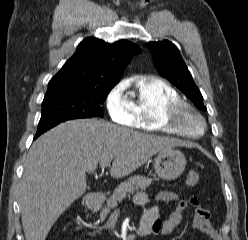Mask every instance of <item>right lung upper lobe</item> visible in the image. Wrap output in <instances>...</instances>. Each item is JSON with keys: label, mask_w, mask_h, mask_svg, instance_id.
<instances>
[{"label": "right lung upper lobe", "mask_w": 248, "mask_h": 240, "mask_svg": "<svg viewBox=\"0 0 248 240\" xmlns=\"http://www.w3.org/2000/svg\"><path fill=\"white\" fill-rule=\"evenodd\" d=\"M138 53V46L127 40L109 44L88 37L49 81L47 91L61 88L112 89L133 55Z\"/></svg>", "instance_id": "1"}]
</instances>
